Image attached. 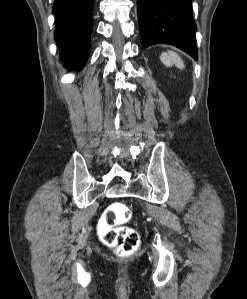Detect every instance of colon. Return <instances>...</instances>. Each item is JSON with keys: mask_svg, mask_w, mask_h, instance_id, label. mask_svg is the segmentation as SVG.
Here are the masks:
<instances>
[{"mask_svg": "<svg viewBox=\"0 0 247 299\" xmlns=\"http://www.w3.org/2000/svg\"><path fill=\"white\" fill-rule=\"evenodd\" d=\"M130 218V209L125 204L116 202L105 210L100 220V233L103 241L114 247L120 256H130L139 248L138 233L126 226Z\"/></svg>", "mask_w": 247, "mask_h": 299, "instance_id": "1", "label": "colon"}]
</instances>
